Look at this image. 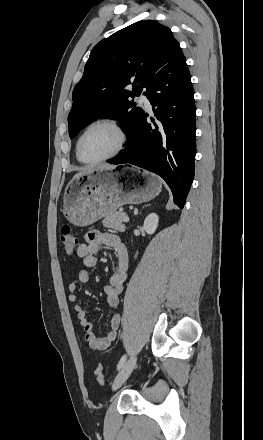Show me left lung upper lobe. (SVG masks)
<instances>
[{"mask_svg":"<svg viewBox=\"0 0 263 440\" xmlns=\"http://www.w3.org/2000/svg\"><path fill=\"white\" fill-rule=\"evenodd\" d=\"M174 45L178 42L170 29L154 20L136 22L100 41L73 90L70 138L102 117L118 118L128 133L144 113L129 98L147 89Z\"/></svg>","mask_w":263,"mask_h":440,"instance_id":"1","label":"left lung upper lobe"}]
</instances>
